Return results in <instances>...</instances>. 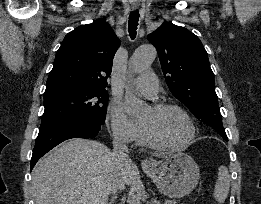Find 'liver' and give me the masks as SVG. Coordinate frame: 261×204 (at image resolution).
<instances>
[{"mask_svg":"<svg viewBox=\"0 0 261 204\" xmlns=\"http://www.w3.org/2000/svg\"><path fill=\"white\" fill-rule=\"evenodd\" d=\"M116 173L113 152L103 143L69 139L34 167L32 188L36 204H107ZM119 173L124 185H131L136 165L130 159Z\"/></svg>","mask_w":261,"mask_h":204,"instance_id":"obj_1","label":"liver"}]
</instances>
